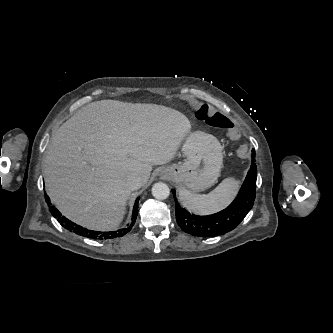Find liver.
I'll use <instances>...</instances> for the list:
<instances>
[{
    "mask_svg": "<svg viewBox=\"0 0 333 333\" xmlns=\"http://www.w3.org/2000/svg\"><path fill=\"white\" fill-rule=\"evenodd\" d=\"M190 131L188 118L165 106L92 102L51 138L44 164L47 193L73 222L114 230L131 193L127 178L140 176L145 185L152 166L173 160Z\"/></svg>",
    "mask_w": 333,
    "mask_h": 333,
    "instance_id": "obj_1",
    "label": "liver"
}]
</instances>
